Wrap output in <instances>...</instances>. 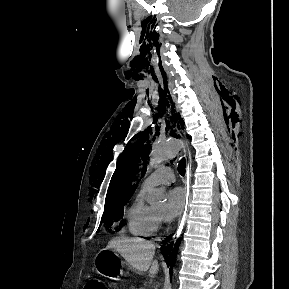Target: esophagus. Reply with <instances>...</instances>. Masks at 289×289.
Here are the masks:
<instances>
[{
    "label": "esophagus",
    "mask_w": 289,
    "mask_h": 289,
    "mask_svg": "<svg viewBox=\"0 0 289 289\" xmlns=\"http://www.w3.org/2000/svg\"><path fill=\"white\" fill-rule=\"evenodd\" d=\"M184 156H185V162H186V176H185V189H186L189 186L190 161H189L186 154ZM187 198H188V196H187ZM186 208H187V204H186V206H184L182 214L180 216L179 228H178L177 233H176L177 236L180 235L182 228L184 226Z\"/></svg>",
    "instance_id": "1"
}]
</instances>
